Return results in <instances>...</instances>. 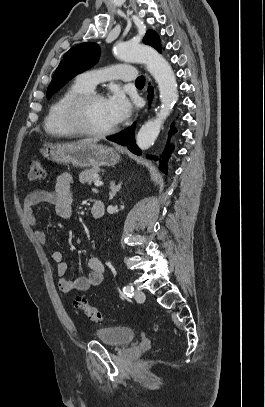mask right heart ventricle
<instances>
[{"instance_id":"right-heart-ventricle-1","label":"right heart ventricle","mask_w":265,"mask_h":407,"mask_svg":"<svg viewBox=\"0 0 265 407\" xmlns=\"http://www.w3.org/2000/svg\"><path fill=\"white\" fill-rule=\"evenodd\" d=\"M88 91L89 89L82 86L75 80L55 99V101L51 104L44 120V129L47 134L59 138L77 136V134L66 124L64 119V111L67 104L74 97Z\"/></svg>"}]
</instances>
